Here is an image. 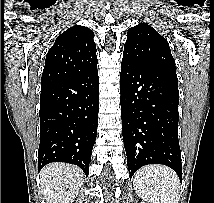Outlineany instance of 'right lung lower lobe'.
<instances>
[{
	"label": "right lung lower lobe",
	"instance_id": "98d812e1",
	"mask_svg": "<svg viewBox=\"0 0 214 203\" xmlns=\"http://www.w3.org/2000/svg\"><path fill=\"white\" fill-rule=\"evenodd\" d=\"M99 111L97 66L41 90L38 168L51 162L79 166L88 176Z\"/></svg>",
	"mask_w": 214,
	"mask_h": 203
}]
</instances>
